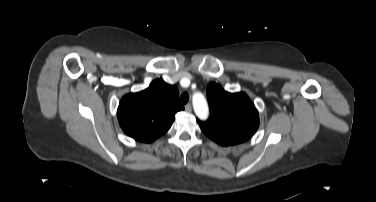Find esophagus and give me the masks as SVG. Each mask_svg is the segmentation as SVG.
I'll return each instance as SVG.
<instances>
[{
	"label": "esophagus",
	"instance_id": "34e87169",
	"mask_svg": "<svg viewBox=\"0 0 376 202\" xmlns=\"http://www.w3.org/2000/svg\"><path fill=\"white\" fill-rule=\"evenodd\" d=\"M185 111L188 112V113H190V112L192 111V106H191V104H187V105L185 106Z\"/></svg>",
	"mask_w": 376,
	"mask_h": 202
}]
</instances>
